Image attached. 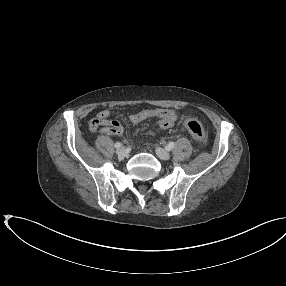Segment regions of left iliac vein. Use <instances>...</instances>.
I'll return each instance as SVG.
<instances>
[{
  "instance_id": "4c4485c4",
  "label": "left iliac vein",
  "mask_w": 286,
  "mask_h": 286,
  "mask_svg": "<svg viewBox=\"0 0 286 286\" xmlns=\"http://www.w3.org/2000/svg\"><path fill=\"white\" fill-rule=\"evenodd\" d=\"M155 151H156V155L162 160H169L171 157L169 152H167L166 150L160 147H157Z\"/></svg>"
}]
</instances>
